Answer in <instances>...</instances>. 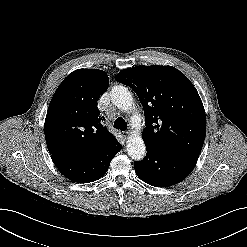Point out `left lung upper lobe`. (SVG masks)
Returning <instances> with one entry per match:
<instances>
[{"label":"left lung upper lobe","mask_w":247,"mask_h":247,"mask_svg":"<svg viewBox=\"0 0 247 247\" xmlns=\"http://www.w3.org/2000/svg\"><path fill=\"white\" fill-rule=\"evenodd\" d=\"M116 80L132 88L144 109L145 145L198 158L206 134V116L193 84L172 66L124 69Z\"/></svg>","instance_id":"left-lung-upper-lobe-1"}]
</instances>
